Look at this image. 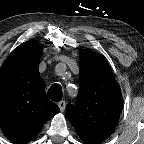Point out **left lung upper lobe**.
I'll return each mask as SVG.
<instances>
[{
    "mask_svg": "<svg viewBox=\"0 0 144 144\" xmlns=\"http://www.w3.org/2000/svg\"><path fill=\"white\" fill-rule=\"evenodd\" d=\"M80 92L66 115L86 144H100L114 132L123 105L121 89L104 57L87 49L80 53Z\"/></svg>",
    "mask_w": 144,
    "mask_h": 144,
    "instance_id": "obj_1",
    "label": "left lung upper lobe"
}]
</instances>
